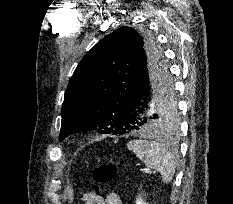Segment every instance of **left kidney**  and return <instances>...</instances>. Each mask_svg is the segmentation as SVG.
<instances>
[{"label":"left kidney","instance_id":"left-kidney-1","mask_svg":"<svg viewBox=\"0 0 233 204\" xmlns=\"http://www.w3.org/2000/svg\"><path fill=\"white\" fill-rule=\"evenodd\" d=\"M136 204H148L140 196L136 199Z\"/></svg>","mask_w":233,"mask_h":204}]
</instances>
